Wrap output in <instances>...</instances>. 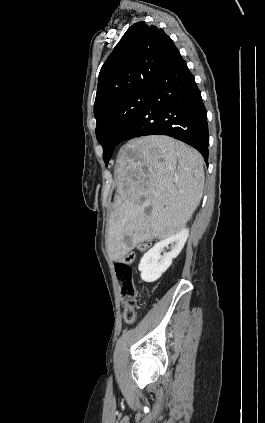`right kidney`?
<instances>
[{
	"instance_id": "1",
	"label": "right kidney",
	"mask_w": 265,
	"mask_h": 423,
	"mask_svg": "<svg viewBox=\"0 0 265 423\" xmlns=\"http://www.w3.org/2000/svg\"><path fill=\"white\" fill-rule=\"evenodd\" d=\"M188 235L189 230L182 228L176 234L156 243L145 253L138 266L142 280L149 283L158 280L170 267L172 260L179 255L186 243ZM168 245H171V251L162 256L161 252Z\"/></svg>"
}]
</instances>
